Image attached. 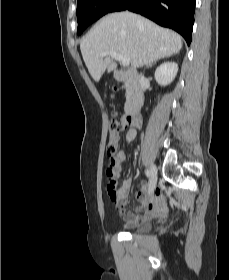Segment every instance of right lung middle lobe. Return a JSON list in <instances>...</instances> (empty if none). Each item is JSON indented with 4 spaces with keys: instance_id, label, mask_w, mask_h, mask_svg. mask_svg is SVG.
Returning a JSON list of instances; mask_svg holds the SVG:
<instances>
[{
    "instance_id": "dd1d6c3e",
    "label": "right lung middle lobe",
    "mask_w": 229,
    "mask_h": 280,
    "mask_svg": "<svg viewBox=\"0 0 229 280\" xmlns=\"http://www.w3.org/2000/svg\"><path fill=\"white\" fill-rule=\"evenodd\" d=\"M118 0H77V34H81L91 23L109 13Z\"/></svg>"
}]
</instances>
